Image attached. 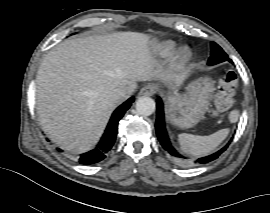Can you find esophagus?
Here are the masks:
<instances>
[{"instance_id": "34e87169", "label": "esophagus", "mask_w": 270, "mask_h": 213, "mask_svg": "<svg viewBox=\"0 0 270 213\" xmlns=\"http://www.w3.org/2000/svg\"><path fill=\"white\" fill-rule=\"evenodd\" d=\"M158 91V87L154 84L145 85L139 92L141 96H153Z\"/></svg>"}]
</instances>
